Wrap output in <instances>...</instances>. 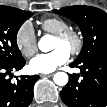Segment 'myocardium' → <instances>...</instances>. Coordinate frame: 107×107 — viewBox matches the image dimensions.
I'll return each instance as SVG.
<instances>
[{"mask_svg":"<svg viewBox=\"0 0 107 107\" xmlns=\"http://www.w3.org/2000/svg\"><path fill=\"white\" fill-rule=\"evenodd\" d=\"M55 39L61 42H71L69 54L72 56L78 55L84 46V38L82 34L75 29H66L54 35Z\"/></svg>","mask_w":107,"mask_h":107,"instance_id":"1","label":"myocardium"}]
</instances>
